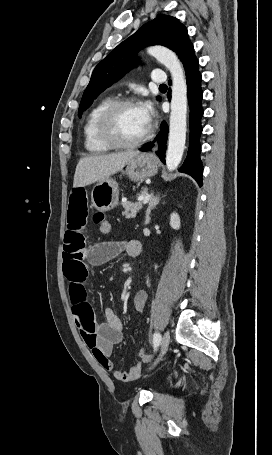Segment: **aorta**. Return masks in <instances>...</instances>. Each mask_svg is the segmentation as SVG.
I'll return each instance as SVG.
<instances>
[{"label":"aorta","mask_w":272,"mask_h":455,"mask_svg":"<svg viewBox=\"0 0 272 455\" xmlns=\"http://www.w3.org/2000/svg\"><path fill=\"white\" fill-rule=\"evenodd\" d=\"M169 71L172 77L171 113L166 166L175 170L181 162L186 141L187 84L185 72L177 55L162 46L147 49Z\"/></svg>","instance_id":"762f6f07"}]
</instances>
